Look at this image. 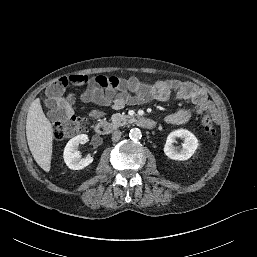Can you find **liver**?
Returning a JSON list of instances; mask_svg holds the SVG:
<instances>
[{
  "mask_svg": "<svg viewBox=\"0 0 257 257\" xmlns=\"http://www.w3.org/2000/svg\"><path fill=\"white\" fill-rule=\"evenodd\" d=\"M26 136L33 158L45 172H49L54 131L51 122L43 112L39 98H36L29 107Z\"/></svg>",
  "mask_w": 257,
  "mask_h": 257,
  "instance_id": "6515ba94",
  "label": "liver"
}]
</instances>
